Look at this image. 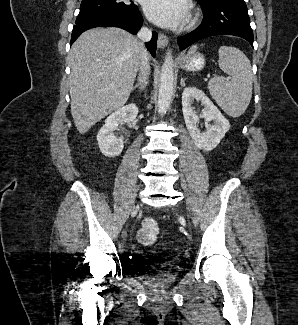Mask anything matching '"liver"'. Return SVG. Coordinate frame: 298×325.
<instances>
[{
    "label": "liver",
    "instance_id": "1",
    "mask_svg": "<svg viewBox=\"0 0 298 325\" xmlns=\"http://www.w3.org/2000/svg\"><path fill=\"white\" fill-rule=\"evenodd\" d=\"M143 44L123 28H91L73 42L71 114L80 134L127 102L141 64Z\"/></svg>",
    "mask_w": 298,
    "mask_h": 325
}]
</instances>
